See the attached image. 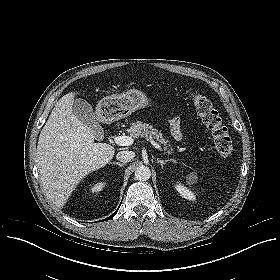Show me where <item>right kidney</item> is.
Wrapping results in <instances>:
<instances>
[{
    "mask_svg": "<svg viewBox=\"0 0 280 280\" xmlns=\"http://www.w3.org/2000/svg\"><path fill=\"white\" fill-rule=\"evenodd\" d=\"M105 187V182H98L91 187V192H99Z\"/></svg>",
    "mask_w": 280,
    "mask_h": 280,
    "instance_id": "1",
    "label": "right kidney"
}]
</instances>
